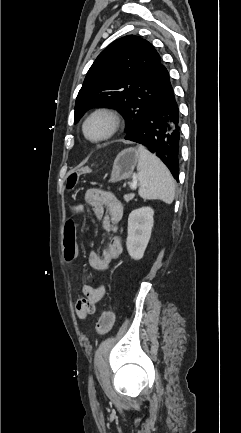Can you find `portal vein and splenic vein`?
<instances>
[{"label": "portal vein and splenic vein", "instance_id": "18ae733b", "mask_svg": "<svg viewBox=\"0 0 241 433\" xmlns=\"http://www.w3.org/2000/svg\"><path fill=\"white\" fill-rule=\"evenodd\" d=\"M130 188H131L132 190L137 189V184H136V183H131V184H130Z\"/></svg>", "mask_w": 241, "mask_h": 433}]
</instances>
